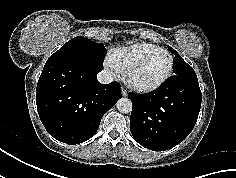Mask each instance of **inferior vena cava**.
Segmentation results:
<instances>
[{
	"label": "inferior vena cava",
	"instance_id": "obj_1",
	"mask_svg": "<svg viewBox=\"0 0 236 178\" xmlns=\"http://www.w3.org/2000/svg\"><path fill=\"white\" fill-rule=\"evenodd\" d=\"M97 79L102 84H109L113 81V75L108 70H102L97 74Z\"/></svg>",
	"mask_w": 236,
	"mask_h": 178
}]
</instances>
